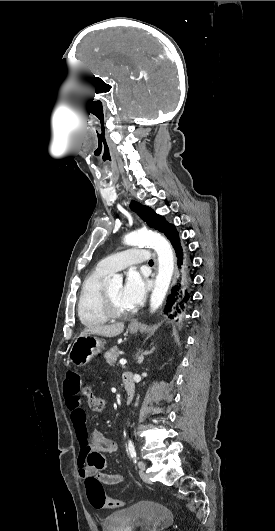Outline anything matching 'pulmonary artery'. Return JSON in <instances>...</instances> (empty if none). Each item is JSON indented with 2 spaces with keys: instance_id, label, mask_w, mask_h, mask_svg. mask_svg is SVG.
Wrapping results in <instances>:
<instances>
[{
  "instance_id": "pulmonary-artery-1",
  "label": "pulmonary artery",
  "mask_w": 275,
  "mask_h": 531,
  "mask_svg": "<svg viewBox=\"0 0 275 531\" xmlns=\"http://www.w3.org/2000/svg\"><path fill=\"white\" fill-rule=\"evenodd\" d=\"M154 253L151 250L139 249L138 246L132 245L128 250L119 254H109L105 261H99L97 269L99 272H111L118 276L121 274L124 266L129 265H147L149 259L153 258Z\"/></svg>"
}]
</instances>
